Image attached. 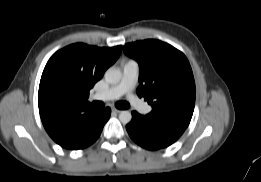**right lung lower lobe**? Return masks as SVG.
Returning a JSON list of instances; mask_svg holds the SVG:
<instances>
[{
	"mask_svg": "<svg viewBox=\"0 0 261 182\" xmlns=\"http://www.w3.org/2000/svg\"><path fill=\"white\" fill-rule=\"evenodd\" d=\"M110 114L111 109L107 107L84 116L77 123L71 138L60 146L70 150L83 149L90 146L100 136L103 126L109 119Z\"/></svg>",
	"mask_w": 261,
	"mask_h": 182,
	"instance_id": "1",
	"label": "right lung lower lobe"
}]
</instances>
